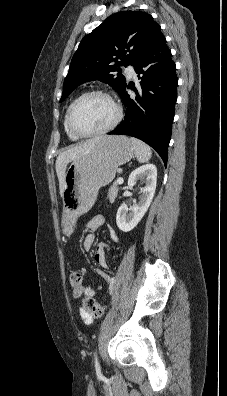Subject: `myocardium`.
Listing matches in <instances>:
<instances>
[{
  "mask_svg": "<svg viewBox=\"0 0 227 396\" xmlns=\"http://www.w3.org/2000/svg\"><path fill=\"white\" fill-rule=\"evenodd\" d=\"M92 95H99V96H102V97L108 99L110 101V103L113 105L116 114H115V117L112 120V122L110 124H108L106 127L96 130V131H92V132H82V131L78 130L73 123V113H74L75 107L82 99H84L88 96H92ZM122 118H123V109H122L121 105L109 93H107L103 90L94 89V90H88V91L83 92L70 104V106L68 108V112H67V125H68L69 130L77 137H80V138L94 137V136L106 134V133L110 132L111 130H113L121 122Z\"/></svg>",
  "mask_w": 227,
  "mask_h": 396,
  "instance_id": "obj_1",
  "label": "myocardium"
}]
</instances>
